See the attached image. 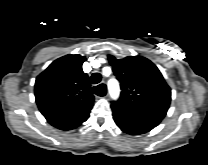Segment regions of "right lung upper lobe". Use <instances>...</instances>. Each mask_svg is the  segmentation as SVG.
<instances>
[{
  "label": "right lung upper lobe",
  "mask_w": 208,
  "mask_h": 165,
  "mask_svg": "<svg viewBox=\"0 0 208 165\" xmlns=\"http://www.w3.org/2000/svg\"><path fill=\"white\" fill-rule=\"evenodd\" d=\"M85 57L66 55L52 62L35 82L38 108L53 127L68 131L85 122L94 105Z\"/></svg>",
  "instance_id": "1"
}]
</instances>
